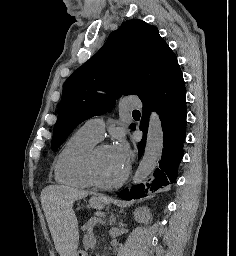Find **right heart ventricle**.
<instances>
[{"mask_svg": "<svg viewBox=\"0 0 236 256\" xmlns=\"http://www.w3.org/2000/svg\"><path fill=\"white\" fill-rule=\"evenodd\" d=\"M96 143L93 137L81 129L75 132L56 158V182L78 189L91 188L89 155Z\"/></svg>", "mask_w": 236, "mask_h": 256, "instance_id": "e07e8e85", "label": "right heart ventricle"}]
</instances>
